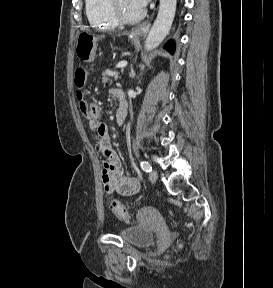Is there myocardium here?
Wrapping results in <instances>:
<instances>
[{
	"instance_id": "obj_1",
	"label": "myocardium",
	"mask_w": 273,
	"mask_h": 288,
	"mask_svg": "<svg viewBox=\"0 0 273 288\" xmlns=\"http://www.w3.org/2000/svg\"><path fill=\"white\" fill-rule=\"evenodd\" d=\"M108 10L111 18L117 23L122 25H133L143 20L145 12L142 11L138 16L133 18L125 17L121 14L118 6L119 0H107Z\"/></svg>"
}]
</instances>
